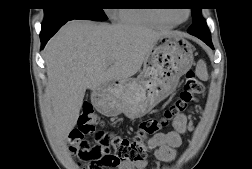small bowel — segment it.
<instances>
[{
    "label": "small bowel",
    "instance_id": "obj_1",
    "mask_svg": "<svg viewBox=\"0 0 252 169\" xmlns=\"http://www.w3.org/2000/svg\"><path fill=\"white\" fill-rule=\"evenodd\" d=\"M174 130L160 133L147 140V144L154 150L155 157L164 162H171L176 156V150L182 143L181 136L187 130V119L184 114H178L172 119ZM147 160L138 162H122L117 169H146Z\"/></svg>",
    "mask_w": 252,
    "mask_h": 169
}]
</instances>
